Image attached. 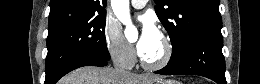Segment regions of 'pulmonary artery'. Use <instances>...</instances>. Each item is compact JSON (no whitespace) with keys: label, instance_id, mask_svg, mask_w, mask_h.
<instances>
[{"label":"pulmonary artery","instance_id":"pulmonary-artery-1","mask_svg":"<svg viewBox=\"0 0 260 84\" xmlns=\"http://www.w3.org/2000/svg\"><path fill=\"white\" fill-rule=\"evenodd\" d=\"M131 3L133 5V7H135V8H142L146 4V1H144V0H132Z\"/></svg>","mask_w":260,"mask_h":84}]
</instances>
